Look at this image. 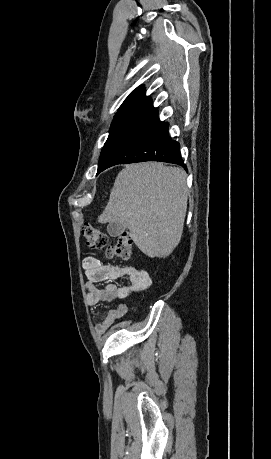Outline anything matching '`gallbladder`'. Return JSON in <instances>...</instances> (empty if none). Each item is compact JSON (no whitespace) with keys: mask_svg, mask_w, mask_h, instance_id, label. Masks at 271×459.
Here are the masks:
<instances>
[{"mask_svg":"<svg viewBox=\"0 0 271 459\" xmlns=\"http://www.w3.org/2000/svg\"><path fill=\"white\" fill-rule=\"evenodd\" d=\"M126 226H122V224H115V222H109L107 226V231L109 235L112 237H117V235H121L123 231H125Z\"/></svg>","mask_w":271,"mask_h":459,"instance_id":"gallbladder-1","label":"gallbladder"}]
</instances>
